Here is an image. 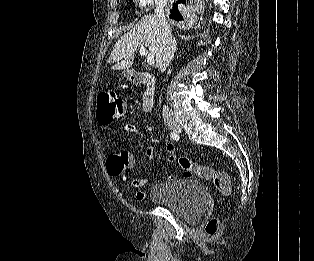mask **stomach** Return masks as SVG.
I'll list each match as a JSON object with an SVG mask.
<instances>
[{"label":"stomach","mask_w":314,"mask_h":261,"mask_svg":"<svg viewBox=\"0 0 314 261\" xmlns=\"http://www.w3.org/2000/svg\"><path fill=\"white\" fill-rule=\"evenodd\" d=\"M123 74H124V76H126L128 79L131 78V72H130V71H124Z\"/></svg>","instance_id":"0dacf381"}]
</instances>
